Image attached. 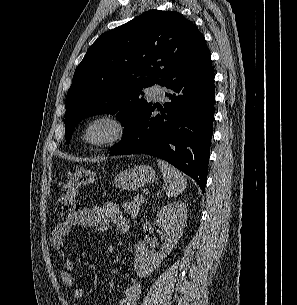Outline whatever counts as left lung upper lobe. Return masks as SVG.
I'll list each match as a JSON object with an SVG mask.
<instances>
[{
  "label": "left lung upper lobe",
  "instance_id": "5c2ea615",
  "mask_svg": "<svg viewBox=\"0 0 297 305\" xmlns=\"http://www.w3.org/2000/svg\"><path fill=\"white\" fill-rule=\"evenodd\" d=\"M203 35L182 14L150 10L101 35L75 70L66 96L65 139L86 117L117 114L124 138L150 103L144 88L211 64Z\"/></svg>",
  "mask_w": 297,
  "mask_h": 305
}]
</instances>
